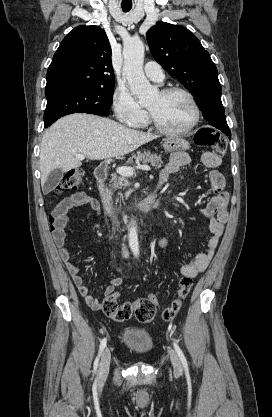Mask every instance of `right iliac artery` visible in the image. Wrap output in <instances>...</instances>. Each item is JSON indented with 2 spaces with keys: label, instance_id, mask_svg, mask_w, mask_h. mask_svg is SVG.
<instances>
[{
  "label": "right iliac artery",
  "instance_id": "right-iliac-artery-1",
  "mask_svg": "<svg viewBox=\"0 0 272 417\" xmlns=\"http://www.w3.org/2000/svg\"><path fill=\"white\" fill-rule=\"evenodd\" d=\"M106 343H107V339L106 338L102 339V341L100 343V346H99V353H98V356H97V358L95 360V363H94L95 366H97V364H98L99 358H100L104 348L106 347Z\"/></svg>",
  "mask_w": 272,
  "mask_h": 417
}]
</instances>
